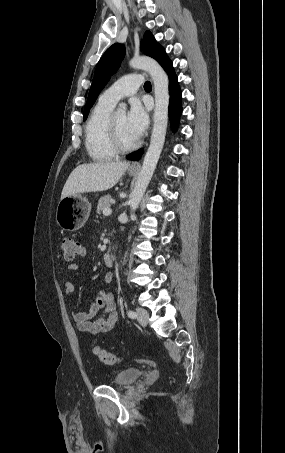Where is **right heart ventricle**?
<instances>
[{"mask_svg":"<svg viewBox=\"0 0 285 453\" xmlns=\"http://www.w3.org/2000/svg\"><path fill=\"white\" fill-rule=\"evenodd\" d=\"M113 108L114 104L100 98L85 125L86 151L97 162L111 160L117 154L109 138V119Z\"/></svg>","mask_w":285,"mask_h":453,"instance_id":"1","label":"right heart ventricle"}]
</instances>
